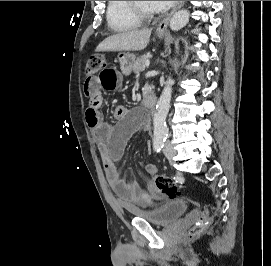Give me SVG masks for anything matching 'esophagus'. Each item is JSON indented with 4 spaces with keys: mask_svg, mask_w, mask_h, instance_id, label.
<instances>
[{
    "mask_svg": "<svg viewBox=\"0 0 271 266\" xmlns=\"http://www.w3.org/2000/svg\"><path fill=\"white\" fill-rule=\"evenodd\" d=\"M184 4V1H178L172 11L163 19V21L156 28L157 33H163L167 30L169 21L176 11H178Z\"/></svg>",
    "mask_w": 271,
    "mask_h": 266,
    "instance_id": "34e87169",
    "label": "esophagus"
}]
</instances>
